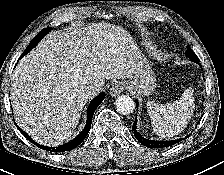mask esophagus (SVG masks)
Segmentation results:
<instances>
[{
	"label": "esophagus",
	"instance_id": "obj_1",
	"mask_svg": "<svg viewBox=\"0 0 224 175\" xmlns=\"http://www.w3.org/2000/svg\"><path fill=\"white\" fill-rule=\"evenodd\" d=\"M124 89H125L124 82H116L112 85V87L110 89V95L115 97V96L119 95Z\"/></svg>",
	"mask_w": 224,
	"mask_h": 175
}]
</instances>
